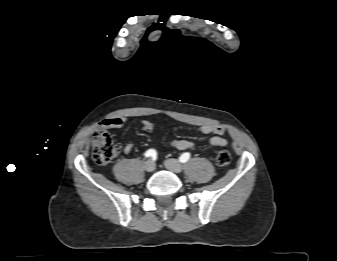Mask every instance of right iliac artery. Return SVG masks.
<instances>
[{
  "label": "right iliac artery",
  "instance_id": "82829eb1",
  "mask_svg": "<svg viewBox=\"0 0 337 261\" xmlns=\"http://www.w3.org/2000/svg\"><path fill=\"white\" fill-rule=\"evenodd\" d=\"M156 151L154 149H149L145 152V157L148 158V157H156Z\"/></svg>",
  "mask_w": 337,
  "mask_h": 261
}]
</instances>
